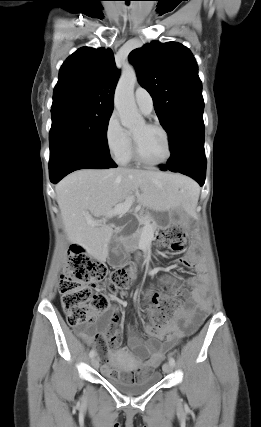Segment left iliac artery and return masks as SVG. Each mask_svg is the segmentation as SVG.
I'll return each instance as SVG.
<instances>
[{
  "instance_id": "44dca946",
  "label": "left iliac artery",
  "mask_w": 261,
  "mask_h": 427,
  "mask_svg": "<svg viewBox=\"0 0 261 427\" xmlns=\"http://www.w3.org/2000/svg\"><path fill=\"white\" fill-rule=\"evenodd\" d=\"M169 363H170L172 366H175V359L171 357V358L169 359Z\"/></svg>"
}]
</instances>
